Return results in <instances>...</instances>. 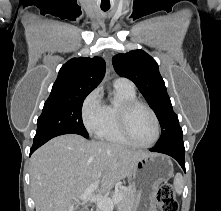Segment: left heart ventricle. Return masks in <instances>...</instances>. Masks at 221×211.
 Segmentation results:
<instances>
[{"mask_svg":"<svg viewBox=\"0 0 221 211\" xmlns=\"http://www.w3.org/2000/svg\"><path fill=\"white\" fill-rule=\"evenodd\" d=\"M130 131L139 143H149L155 136V124L151 114L145 108H136L129 119Z\"/></svg>","mask_w":221,"mask_h":211,"instance_id":"b2bd125f","label":"left heart ventricle"}]
</instances>
